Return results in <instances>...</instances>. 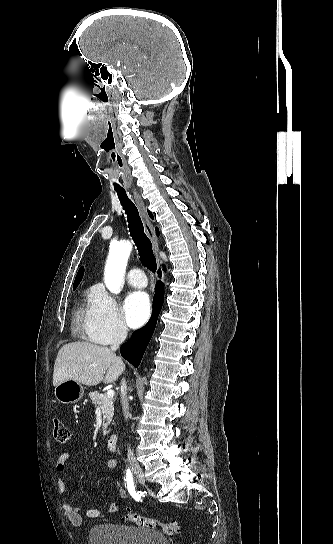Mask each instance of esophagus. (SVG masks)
<instances>
[{
    "instance_id": "34e87169",
    "label": "esophagus",
    "mask_w": 333,
    "mask_h": 544,
    "mask_svg": "<svg viewBox=\"0 0 333 544\" xmlns=\"http://www.w3.org/2000/svg\"><path fill=\"white\" fill-rule=\"evenodd\" d=\"M133 195L143 220L145 232L152 243V249L157 260L156 280L159 281L163 277V269H162L161 260L159 256V245H158V239L155 234L154 225L147 213L145 203L143 199L141 198L140 194L137 191L133 190Z\"/></svg>"
}]
</instances>
